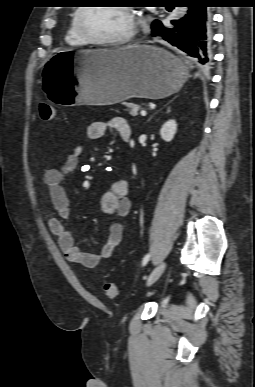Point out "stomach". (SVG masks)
<instances>
[{"label": "stomach", "instance_id": "stomach-1", "mask_svg": "<svg viewBox=\"0 0 255 387\" xmlns=\"http://www.w3.org/2000/svg\"><path fill=\"white\" fill-rule=\"evenodd\" d=\"M73 50L54 53L42 73L44 95L59 108L110 105L132 97L159 99L179 91L188 76L181 60L153 46Z\"/></svg>", "mask_w": 255, "mask_h": 387}]
</instances>
